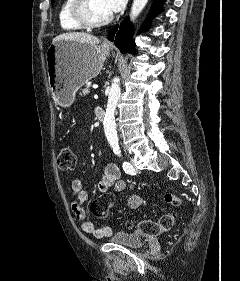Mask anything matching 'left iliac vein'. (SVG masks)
Masks as SVG:
<instances>
[{
	"mask_svg": "<svg viewBox=\"0 0 240 281\" xmlns=\"http://www.w3.org/2000/svg\"><path fill=\"white\" fill-rule=\"evenodd\" d=\"M133 163H134V160L131 158V164L133 165ZM135 169V168H134Z\"/></svg>",
	"mask_w": 240,
	"mask_h": 281,
	"instance_id": "left-iliac-vein-1",
	"label": "left iliac vein"
}]
</instances>
